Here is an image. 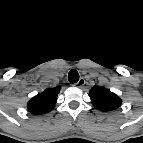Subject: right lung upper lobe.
<instances>
[{
    "instance_id": "right-lung-upper-lobe-1",
    "label": "right lung upper lobe",
    "mask_w": 143,
    "mask_h": 143,
    "mask_svg": "<svg viewBox=\"0 0 143 143\" xmlns=\"http://www.w3.org/2000/svg\"><path fill=\"white\" fill-rule=\"evenodd\" d=\"M60 87L47 88L42 93L34 96L27 104L28 111L35 115H41L52 111L57 102Z\"/></svg>"
}]
</instances>
